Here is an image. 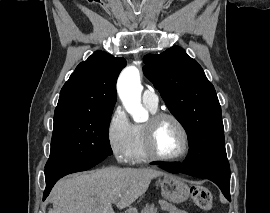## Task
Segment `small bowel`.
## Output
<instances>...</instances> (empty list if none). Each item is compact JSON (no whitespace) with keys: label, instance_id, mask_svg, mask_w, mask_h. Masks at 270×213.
Here are the masks:
<instances>
[{"label":"small bowel","instance_id":"small-bowel-1","mask_svg":"<svg viewBox=\"0 0 270 213\" xmlns=\"http://www.w3.org/2000/svg\"><path fill=\"white\" fill-rule=\"evenodd\" d=\"M162 209L166 213H188L187 211L177 208L175 206L170 205L169 203H163L162 204Z\"/></svg>","mask_w":270,"mask_h":213}]
</instances>
